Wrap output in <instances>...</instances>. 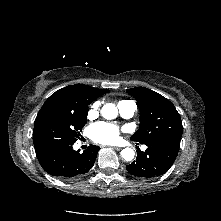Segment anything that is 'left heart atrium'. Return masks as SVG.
<instances>
[{
  "label": "left heart atrium",
  "instance_id": "obj_1",
  "mask_svg": "<svg viewBox=\"0 0 221 221\" xmlns=\"http://www.w3.org/2000/svg\"><path fill=\"white\" fill-rule=\"evenodd\" d=\"M90 136L95 142L111 144L117 141L119 128L114 124L99 122L91 126Z\"/></svg>",
  "mask_w": 221,
  "mask_h": 221
}]
</instances>
